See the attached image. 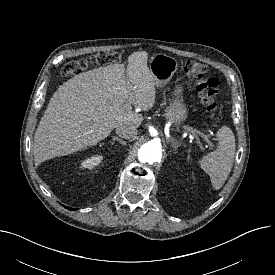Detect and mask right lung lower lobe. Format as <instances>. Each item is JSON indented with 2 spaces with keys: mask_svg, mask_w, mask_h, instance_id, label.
<instances>
[{
  "mask_svg": "<svg viewBox=\"0 0 275 275\" xmlns=\"http://www.w3.org/2000/svg\"><path fill=\"white\" fill-rule=\"evenodd\" d=\"M64 207L67 208V209H69V210H76L74 208H69V207H66V206H64Z\"/></svg>",
  "mask_w": 275,
  "mask_h": 275,
  "instance_id": "1",
  "label": "right lung lower lobe"
}]
</instances>
